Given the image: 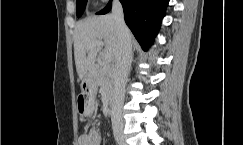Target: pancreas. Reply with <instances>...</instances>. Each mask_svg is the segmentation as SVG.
I'll return each mask as SVG.
<instances>
[{
	"label": "pancreas",
	"mask_w": 243,
	"mask_h": 145,
	"mask_svg": "<svg viewBox=\"0 0 243 145\" xmlns=\"http://www.w3.org/2000/svg\"><path fill=\"white\" fill-rule=\"evenodd\" d=\"M114 65L108 62L102 63L98 67L97 82L106 91H110L113 85Z\"/></svg>",
	"instance_id": "1"
}]
</instances>
